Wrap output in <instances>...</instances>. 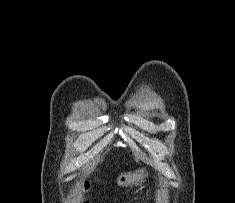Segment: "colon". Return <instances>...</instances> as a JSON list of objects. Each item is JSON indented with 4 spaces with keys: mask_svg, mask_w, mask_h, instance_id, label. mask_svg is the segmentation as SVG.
<instances>
[{
    "mask_svg": "<svg viewBox=\"0 0 235 203\" xmlns=\"http://www.w3.org/2000/svg\"><path fill=\"white\" fill-rule=\"evenodd\" d=\"M85 187H87V185H85ZM84 203H90L89 201H85Z\"/></svg>",
    "mask_w": 235,
    "mask_h": 203,
    "instance_id": "obj_1",
    "label": "colon"
}]
</instances>
